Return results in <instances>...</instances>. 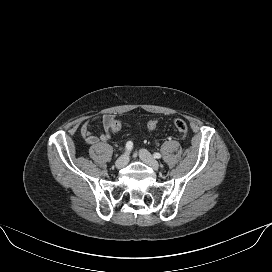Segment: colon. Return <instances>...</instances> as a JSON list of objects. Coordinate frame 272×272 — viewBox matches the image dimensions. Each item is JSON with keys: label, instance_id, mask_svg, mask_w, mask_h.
Returning a JSON list of instances; mask_svg holds the SVG:
<instances>
[{"label": "colon", "instance_id": "1", "mask_svg": "<svg viewBox=\"0 0 272 272\" xmlns=\"http://www.w3.org/2000/svg\"><path fill=\"white\" fill-rule=\"evenodd\" d=\"M122 126V123L120 120L115 119L114 122L112 123V132H117ZM148 128L151 131H154L157 126H158V119L152 118L148 121L147 124ZM173 127L179 132L181 137H186L188 133V125L187 123L181 119V118H175L173 120Z\"/></svg>", "mask_w": 272, "mask_h": 272}]
</instances>
